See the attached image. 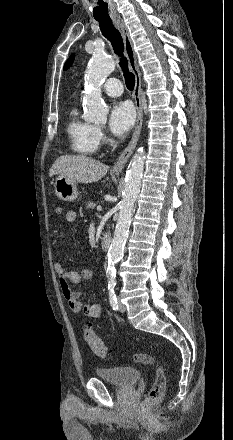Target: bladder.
<instances>
[{"instance_id": "1", "label": "bladder", "mask_w": 233, "mask_h": 440, "mask_svg": "<svg viewBox=\"0 0 233 440\" xmlns=\"http://www.w3.org/2000/svg\"><path fill=\"white\" fill-rule=\"evenodd\" d=\"M95 377L120 388L133 387L141 378V372L134 367L95 368Z\"/></svg>"}]
</instances>
